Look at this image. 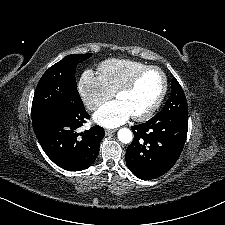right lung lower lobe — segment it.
Segmentation results:
<instances>
[{
    "instance_id": "98d812e1",
    "label": "right lung lower lobe",
    "mask_w": 225,
    "mask_h": 225,
    "mask_svg": "<svg viewBox=\"0 0 225 225\" xmlns=\"http://www.w3.org/2000/svg\"><path fill=\"white\" fill-rule=\"evenodd\" d=\"M89 118L82 104L54 110L32 121L42 149L59 167L81 171L94 163L105 135L104 129L96 125L81 134L76 132Z\"/></svg>"
}]
</instances>
